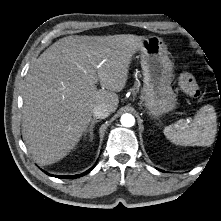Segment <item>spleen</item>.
Segmentation results:
<instances>
[{
    "label": "spleen",
    "instance_id": "3e777b00",
    "mask_svg": "<svg viewBox=\"0 0 221 221\" xmlns=\"http://www.w3.org/2000/svg\"><path fill=\"white\" fill-rule=\"evenodd\" d=\"M216 113L212 106L202 107L192 122L180 119L164 128V135L172 143L182 146H208L216 133Z\"/></svg>",
    "mask_w": 221,
    "mask_h": 221
}]
</instances>
